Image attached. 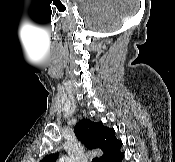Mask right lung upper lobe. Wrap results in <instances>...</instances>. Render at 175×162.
Masks as SVG:
<instances>
[{
    "label": "right lung upper lobe",
    "mask_w": 175,
    "mask_h": 162,
    "mask_svg": "<svg viewBox=\"0 0 175 162\" xmlns=\"http://www.w3.org/2000/svg\"><path fill=\"white\" fill-rule=\"evenodd\" d=\"M77 138L83 142L88 149H100L103 155L97 159L98 162H108L120 151L122 142L117 140L114 129H110L103 123H96L89 119L81 120L74 127ZM58 153H53L40 162H56Z\"/></svg>",
    "instance_id": "obj_1"
}]
</instances>
